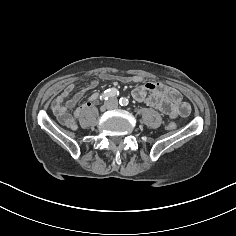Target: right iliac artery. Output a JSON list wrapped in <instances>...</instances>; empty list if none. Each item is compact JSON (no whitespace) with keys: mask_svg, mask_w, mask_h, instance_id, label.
Wrapping results in <instances>:
<instances>
[{"mask_svg":"<svg viewBox=\"0 0 236 236\" xmlns=\"http://www.w3.org/2000/svg\"><path fill=\"white\" fill-rule=\"evenodd\" d=\"M119 95V91L116 88L107 89L104 93L100 96V100H108L109 98H114Z\"/></svg>","mask_w":236,"mask_h":236,"instance_id":"82829eb1","label":"right iliac artery"}]
</instances>
